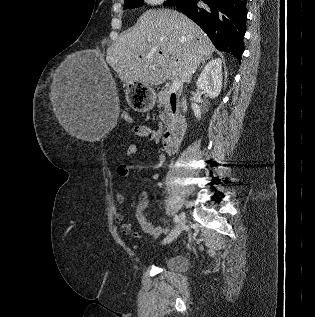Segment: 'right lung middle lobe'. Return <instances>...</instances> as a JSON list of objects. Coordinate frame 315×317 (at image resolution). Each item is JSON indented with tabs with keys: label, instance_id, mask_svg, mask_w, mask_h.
Instances as JSON below:
<instances>
[{
	"label": "right lung middle lobe",
	"instance_id": "1",
	"mask_svg": "<svg viewBox=\"0 0 315 317\" xmlns=\"http://www.w3.org/2000/svg\"><path fill=\"white\" fill-rule=\"evenodd\" d=\"M180 0H168L166 2L169 6H174ZM143 5V0H124V9H133L137 7H141Z\"/></svg>",
	"mask_w": 315,
	"mask_h": 317
}]
</instances>
